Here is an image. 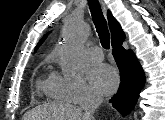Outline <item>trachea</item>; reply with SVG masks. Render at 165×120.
<instances>
[{
	"label": "trachea",
	"mask_w": 165,
	"mask_h": 120,
	"mask_svg": "<svg viewBox=\"0 0 165 120\" xmlns=\"http://www.w3.org/2000/svg\"><path fill=\"white\" fill-rule=\"evenodd\" d=\"M92 19L100 38V43L105 49L110 48V33L107 27L106 19L104 18L102 9L98 0H88Z\"/></svg>",
	"instance_id": "3493384b"
}]
</instances>
